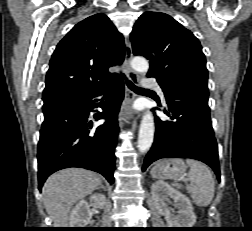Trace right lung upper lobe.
<instances>
[{"mask_svg":"<svg viewBox=\"0 0 252 231\" xmlns=\"http://www.w3.org/2000/svg\"><path fill=\"white\" fill-rule=\"evenodd\" d=\"M124 55L123 37L106 15L86 18L58 43L49 63L43 101L73 98L108 86L119 79L108 68L121 64Z\"/></svg>","mask_w":252,"mask_h":231,"instance_id":"1","label":"right lung upper lobe"}]
</instances>
